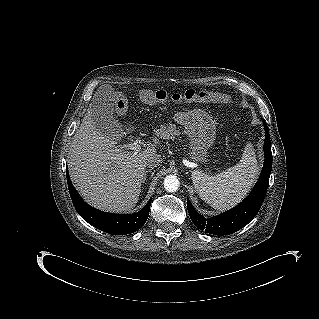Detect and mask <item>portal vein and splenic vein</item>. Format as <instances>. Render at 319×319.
<instances>
[{
	"label": "portal vein and splenic vein",
	"mask_w": 319,
	"mask_h": 319,
	"mask_svg": "<svg viewBox=\"0 0 319 319\" xmlns=\"http://www.w3.org/2000/svg\"><path fill=\"white\" fill-rule=\"evenodd\" d=\"M122 148H128L130 150H133L134 152H139L141 149V145L138 144V142L134 141L133 143L124 144Z\"/></svg>",
	"instance_id": "obj_1"
}]
</instances>
